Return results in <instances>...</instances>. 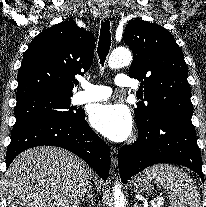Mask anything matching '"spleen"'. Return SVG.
Listing matches in <instances>:
<instances>
[{"label":"spleen","instance_id":"obj_1","mask_svg":"<svg viewBox=\"0 0 206 207\" xmlns=\"http://www.w3.org/2000/svg\"><path fill=\"white\" fill-rule=\"evenodd\" d=\"M140 177L165 187L170 207H201L195 182L177 166L159 164L144 170Z\"/></svg>","mask_w":206,"mask_h":207}]
</instances>
